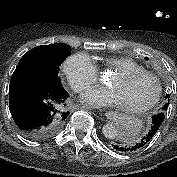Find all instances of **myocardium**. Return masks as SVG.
Here are the masks:
<instances>
[{
	"instance_id": "obj_1",
	"label": "myocardium",
	"mask_w": 177,
	"mask_h": 177,
	"mask_svg": "<svg viewBox=\"0 0 177 177\" xmlns=\"http://www.w3.org/2000/svg\"><path fill=\"white\" fill-rule=\"evenodd\" d=\"M116 75L123 79L144 77L150 79L154 83V92L149 99H147L146 101L138 105H133V106L122 105V108L124 110L130 112H142L152 107L158 101L161 95L162 86L159 78L156 75L145 70L117 72Z\"/></svg>"
}]
</instances>
